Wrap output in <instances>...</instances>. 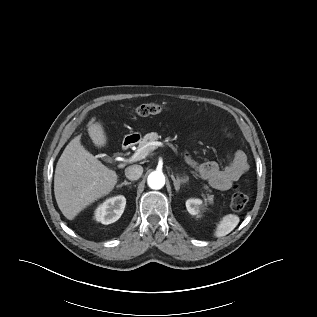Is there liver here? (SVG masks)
<instances>
[{"mask_svg":"<svg viewBox=\"0 0 317 317\" xmlns=\"http://www.w3.org/2000/svg\"><path fill=\"white\" fill-rule=\"evenodd\" d=\"M88 123L93 143L102 147L106 136L100 123ZM81 136L75 137L60 156L54 175V194L62 214L69 220L90 203L109 194L115 187L118 175L104 166L81 145Z\"/></svg>","mask_w":317,"mask_h":317,"instance_id":"liver-1","label":"liver"}]
</instances>
